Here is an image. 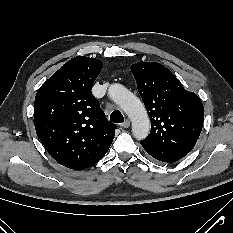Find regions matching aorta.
Listing matches in <instances>:
<instances>
[{
    "instance_id": "obj_1",
    "label": "aorta",
    "mask_w": 233,
    "mask_h": 233,
    "mask_svg": "<svg viewBox=\"0 0 233 233\" xmlns=\"http://www.w3.org/2000/svg\"><path fill=\"white\" fill-rule=\"evenodd\" d=\"M108 93L130 118L134 137L138 140L146 138L150 132V120L140 99L121 84H112Z\"/></svg>"
}]
</instances>
